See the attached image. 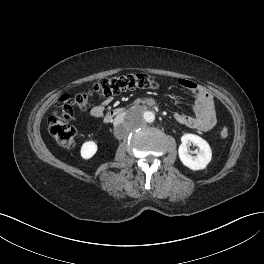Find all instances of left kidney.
I'll use <instances>...</instances> for the list:
<instances>
[{
  "instance_id": "1",
  "label": "left kidney",
  "mask_w": 264,
  "mask_h": 264,
  "mask_svg": "<svg viewBox=\"0 0 264 264\" xmlns=\"http://www.w3.org/2000/svg\"><path fill=\"white\" fill-rule=\"evenodd\" d=\"M178 153L181 162L191 170H202L211 161L212 151L206 140L195 134H184L181 137ZM193 144L199 147L196 156L189 154L188 146Z\"/></svg>"
}]
</instances>
